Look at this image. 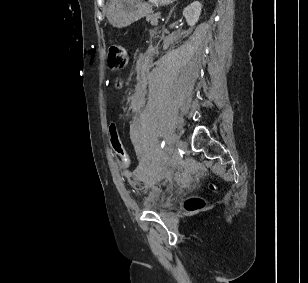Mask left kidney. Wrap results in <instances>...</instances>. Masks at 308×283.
<instances>
[{"label":"left kidney","mask_w":308,"mask_h":283,"mask_svg":"<svg viewBox=\"0 0 308 283\" xmlns=\"http://www.w3.org/2000/svg\"><path fill=\"white\" fill-rule=\"evenodd\" d=\"M201 10L202 4L199 1H194L184 9L183 16L189 26L193 27L198 22Z\"/></svg>","instance_id":"5707ae66"}]
</instances>
